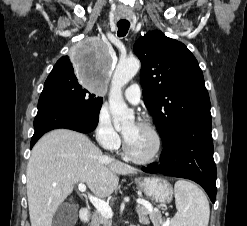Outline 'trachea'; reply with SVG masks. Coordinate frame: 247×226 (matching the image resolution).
<instances>
[{"label": "trachea", "mask_w": 247, "mask_h": 226, "mask_svg": "<svg viewBox=\"0 0 247 226\" xmlns=\"http://www.w3.org/2000/svg\"><path fill=\"white\" fill-rule=\"evenodd\" d=\"M117 27H118V36L119 37H123L127 34L128 29L130 27V23L127 21H120L117 23Z\"/></svg>", "instance_id": "trachea-1"}]
</instances>
